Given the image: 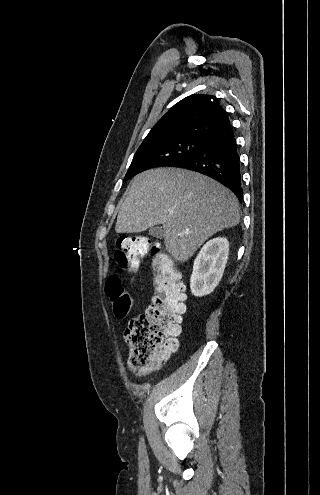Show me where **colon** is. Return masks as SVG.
<instances>
[{"mask_svg": "<svg viewBox=\"0 0 320 495\" xmlns=\"http://www.w3.org/2000/svg\"><path fill=\"white\" fill-rule=\"evenodd\" d=\"M150 254L153 257L156 294L152 304L144 313L132 318L124 332V340L129 347L128 365L138 375L158 368L177 349V336L186 307L180 274L159 245L140 235H125L116 241V259L123 270H136ZM105 291L113 304L115 315L118 318L126 317L132 299L117 276L108 278Z\"/></svg>", "mask_w": 320, "mask_h": 495, "instance_id": "colon-1", "label": "colon"}]
</instances>
